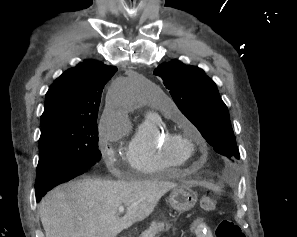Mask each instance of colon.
I'll list each match as a JSON object with an SVG mask.
<instances>
[{"mask_svg": "<svg viewBox=\"0 0 297 237\" xmlns=\"http://www.w3.org/2000/svg\"><path fill=\"white\" fill-rule=\"evenodd\" d=\"M200 205L205 211H212L216 207V199L210 193L202 195ZM216 237H245L241 228L234 222L224 219L215 226Z\"/></svg>", "mask_w": 297, "mask_h": 237, "instance_id": "colon-1", "label": "colon"}]
</instances>
